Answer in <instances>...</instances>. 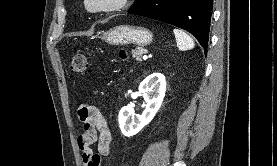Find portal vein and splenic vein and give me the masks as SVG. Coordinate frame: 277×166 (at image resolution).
Returning <instances> with one entry per match:
<instances>
[{"instance_id": "portal-vein-and-splenic-vein-1", "label": "portal vein and splenic vein", "mask_w": 277, "mask_h": 166, "mask_svg": "<svg viewBox=\"0 0 277 166\" xmlns=\"http://www.w3.org/2000/svg\"><path fill=\"white\" fill-rule=\"evenodd\" d=\"M147 58H148L147 55H144V56H143V59H144V60H146Z\"/></svg>"}]
</instances>
